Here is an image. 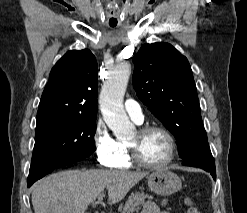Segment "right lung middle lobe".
<instances>
[{
  "label": "right lung middle lobe",
  "instance_id": "dd1d6c3e",
  "mask_svg": "<svg viewBox=\"0 0 247 213\" xmlns=\"http://www.w3.org/2000/svg\"><path fill=\"white\" fill-rule=\"evenodd\" d=\"M30 178H41L50 168L76 163L95 151L96 118L46 116L36 120Z\"/></svg>",
  "mask_w": 247,
  "mask_h": 213
}]
</instances>
